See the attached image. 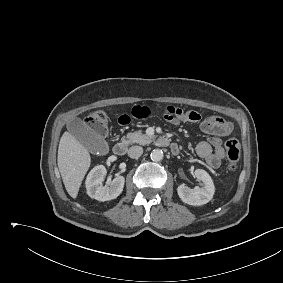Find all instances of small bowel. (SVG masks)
I'll use <instances>...</instances> for the list:
<instances>
[{"instance_id":"1","label":"small bowel","mask_w":283,"mask_h":283,"mask_svg":"<svg viewBox=\"0 0 283 283\" xmlns=\"http://www.w3.org/2000/svg\"><path fill=\"white\" fill-rule=\"evenodd\" d=\"M151 114V110L145 106L134 107L130 114L123 113L119 116L120 125L130 123L131 117L145 118ZM167 120L175 125L181 123L198 124L202 132L209 135L206 141H201L196 146L197 155L204 159L211 169H217L225 156L223 149V137H228L232 132V124L220 116L211 115L203 118L198 112L184 111L174 106H168L164 111Z\"/></svg>"}]
</instances>
